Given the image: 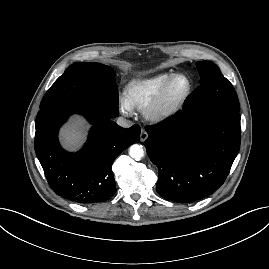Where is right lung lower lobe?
<instances>
[{"instance_id":"right-lung-lower-lobe-1","label":"right lung lower lobe","mask_w":269,"mask_h":269,"mask_svg":"<svg viewBox=\"0 0 269 269\" xmlns=\"http://www.w3.org/2000/svg\"><path fill=\"white\" fill-rule=\"evenodd\" d=\"M72 113L92 127L84 147L69 153L58 142V130ZM104 111L72 101L40 108L36 117L35 152L49 186L63 198L81 204L109 200L116 192L111 165L123 149L137 143L140 127L122 128Z\"/></svg>"}]
</instances>
